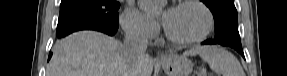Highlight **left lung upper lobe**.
<instances>
[{
	"label": "left lung upper lobe",
	"instance_id": "obj_1",
	"mask_svg": "<svg viewBox=\"0 0 287 76\" xmlns=\"http://www.w3.org/2000/svg\"><path fill=\"white\" fill-rule=\"evenodd\" d=\"M211 10L215 21V40L221 45H241L234 0H201Z\"/></svg>",
	"mask_w": 287,
	"mask_h": 76
}]
</instances>
